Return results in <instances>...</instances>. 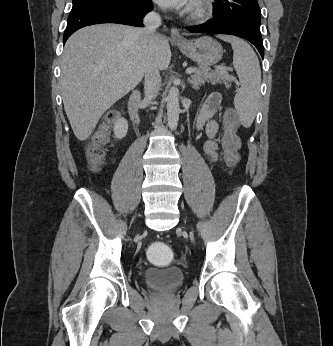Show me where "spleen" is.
Masks as SVG:
<instances>
[{
    "mask_svg": "<svg viewBox=\"0 0 333 346\" xmlns=\"http://www.w3.org/2000/svg\"><path fill=\"white\" fill-rule=\"evenodd\" d=\"M219 38L232 46L233 66L241 83L234 98V105L243 126L250 127L260 99L261 69L258 58L245 41L233 36Z\"/></svg>",
    "mask_w": 333,
    "mask_h": 346,
    "instance_id": "obj_1",
    "label": "spleen"
}]
</instances>
